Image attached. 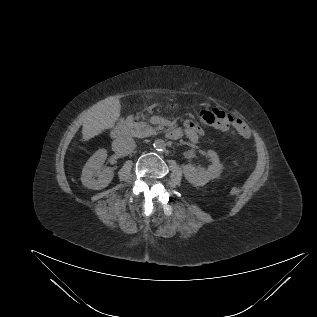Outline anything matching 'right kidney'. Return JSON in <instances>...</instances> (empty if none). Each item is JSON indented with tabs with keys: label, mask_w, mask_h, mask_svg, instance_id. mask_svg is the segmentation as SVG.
Masks as SVG:
<instances>
[{
	"label": "right kidney",
	"mask_w": 317,
	"mask_h": 317,
	"mask_svg": "<svg viewBox=\"0 0 317 317\" xmlns=\"http://www.w3.org/2000/svg\"><path fill=\"white\" fill-rule=\"evenodd\" d=\"M106 158L107 151L100 149L86 162L81 175V181L85 187L93 190H101L107 187L112 181L114 176L113 170L109 167L103 168Z\"/></svg>",
	"instance_id": "right-kidney-1"
}]
</instances>
